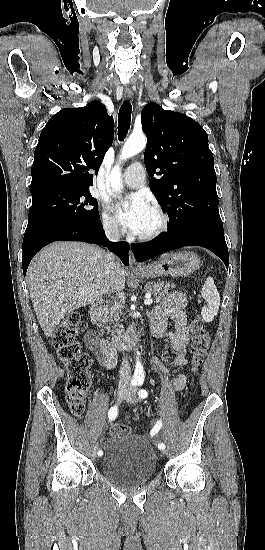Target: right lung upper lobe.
Instances as JSON below:
<instances>
[{"instance_id": "right-lung-upper-lobe-1", "label": "right lung upper lobe", "mask_w": 265, "mask_h": 550, "mask_svg": "<svg viewBox=\"0 0 265 550\" xmlns=\"http://www.w3.org/2000/svg\"><path fill=\"white\" fill-rule=\"evenodd\" d=\"M114 138V121L106 107L92 101L65 108L43 128L34 151L31 189L54 186L88 190Z\"/></svg>"}]
</instances>
